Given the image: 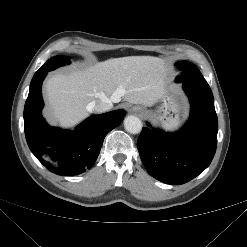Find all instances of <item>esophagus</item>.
I'll list each match as a JSON object with an SVG mask.
<instances>
[{"instance_id":"esophagus-1","label":"esophagus","mask_w":247,"mask_h":247,"mask_svg":"<svg viewBox=\"0 0 247 247\" xmlns=\"http://www.w3.org/2000/svg\"><path fill=\"white\" fill-rule=\"evenodd\" d=\"M129 111L130 112H137L139 114L144 113V109L142 107H139V106L132 107Z\"/></svg>"}]
</instances>
